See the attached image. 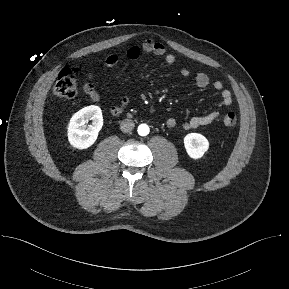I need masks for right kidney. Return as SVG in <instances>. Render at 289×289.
<instances>
[{
    "mask_svg": "<svg viewBox=\"0 0 289 289\" xmlns=\"http://www.w3.org/2000/svg\"><path fill=\"white\" fill-rule=\"evenodd\" d=\"M92 123L86 126V123ZM103 126V116L100 107L91 105L76 112L68 125V140L74 148L87 149L97 140Z\"/></svg>",
    "mask_w": 289,
    "mask_h": 289,
    "instance_id": "ca27d5eb",
    "label": "right kidney"
}]
</instances>
